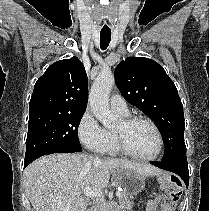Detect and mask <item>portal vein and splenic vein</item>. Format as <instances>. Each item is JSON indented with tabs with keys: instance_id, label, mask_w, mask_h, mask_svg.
<instances>
[{
	"instance_id": "obj_1",
	"label": "portal vein and splenic vein",
	"mask_w": 209,
	"mask_h": 211,
	"mask_svg": "<svg viewBox=\"0 0 209 211\" xmlns=\"http://www.w3.org/2000/svg\"><path fill=\"white\" fill-rule=\"evenodd\" d=\"M83 194L89 198H100L103 196V190L101 189H92L90 187L85 188ZM117 197H121V192H116Z\"/></svg>"
}]
</instances>
